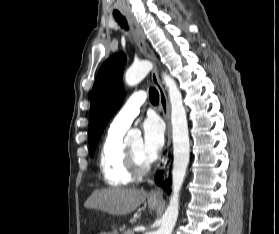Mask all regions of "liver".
<instances>
[{
	"mask_svg": "<svg viewBox=\"0 0 279 234\" xmlns=\"http://www.w3.org/2000/svg\"><path fill=\"white\" fill-rule=\"evenodd\" d=\"M148 193L143 189L111 188L95 190L84 206L111 215H127L137 209Z\"/></svg>",
	"mask_w": 279,
	"mask_h": 234,
	"instance_id": "liver-1",
	"label": "liver"
}]
</instances>
